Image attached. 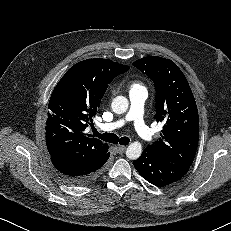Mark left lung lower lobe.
I'll return each mask as SVG.
<instances>
[{"instance_id":"obj_1","label":"left lung lower lobe","mask_w":231,"mask_h":231,"mask_svg":"<svg viewBox=\"0 0 231 231\" xmlns=\"http://www.w3.org/2000/svg\"><path fill=\"white\" fill-rule=\"evenodd\" d=\"M134 167L144 179L157 187H164L180 180L190 168L162 160L146 149L140 158L134 161Z\"/></svg>"}]
</instances>
